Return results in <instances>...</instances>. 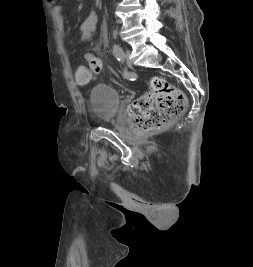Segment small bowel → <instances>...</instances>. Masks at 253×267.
Listing matches in <instances>:
<instances>
[{
  "label": "small bowel",
  "instance_id": "1",
  "mask_svg": "<svg viewBox=\"0 0 253 267\" xmlns=\"http://www.w3.org/2000/svg\"><path fill=\"white\" fill-rule=\"evenodd\" d=\"M50 3H53L52 7V13L56 20L60 36L62 40L65 39V23H64V17L62 14V6L58 4H54L55 0H49ZM98 15L95 10H92L91 13L84 19V21L81 23L80 30L82 33V41H87L91 38L97 24Z\"/></svg>",
  "mask_w": 253,
  "mask_h": 267
}]
</instances>
